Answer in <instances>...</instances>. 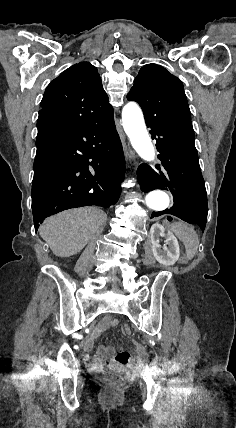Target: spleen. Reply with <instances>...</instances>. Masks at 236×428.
I'll use <instances>...</instances> for the list:
<instances>
[{
    "mask_svg": "<svg viewBox=\"0 0 236 428\" xmlns=\"http://www.w3.org/2000/svg\"><path fill=\"white\" fill-rule=\"evenodd\" d=\"M171 230L174 232L175 236L183 242L188 260H192L197 252L199 244L198 236L193 226H188V224H184V222H174L171 226Z\"/></svg>",
    "mask_w": 236,
    "mask_h": 428,
    "instance_id": "1",
    "label": "spleen"
}]
</instances>
